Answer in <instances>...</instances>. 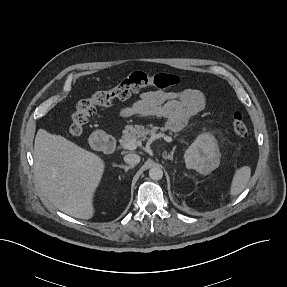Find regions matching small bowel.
Returning a JSON list of instances; mask_svg holds the SVG:
<instances>
[{
    "mask_svg": "<svg viewBox=\"0 0 287 287\" xmlns=\"http://www.w3.org/2000/svg\"><path fill=\"white\" fill-rule=\"evenodd\" d=\"M205 98L201 91L187 88L179 91H146L121 110L123 117L156 116L166 119L171 131H179L203 110Z\"/></svg>",
    "mask_w": 287,
    "mask_h": 287,
    "instance_id": "small-bowel-1",
    "label": "small bowel"
}]
</instances>
